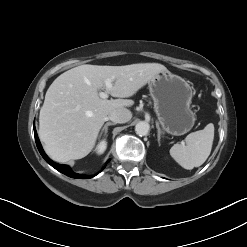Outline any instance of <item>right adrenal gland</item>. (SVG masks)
I'll return each instance as SVG.
<instances>
[{
	"label": "right adrenal gland",
	"mask_w": 247,
	"mask_h": 247,
	"mask_svg": "<svg viewBox=\"0 0 247 247\" xmlns=\"http://www.w3.org/2000/svg\"><path fill=\"white\" fill-rule=\"evenodd\" d=\"M111 125H116V123H112V122H107L104 127L101 130L100 136L104 133V136H107V132H108V127Z\"/></svg>",
	"instance_id": "1"
}]
</instances>
